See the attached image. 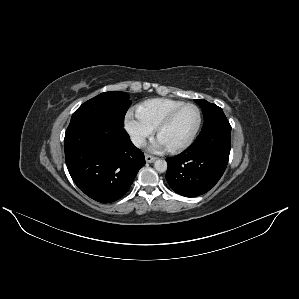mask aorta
Segmentation results:
<instances>
[{
    "label": "aorta",
    "instance_id": "aorta-1",
    "mask_svg": "<svg viewBox=\"0 0 299 299\" xmlns=\"http://www.w3.org/2000/svg\"><path fill=\"white\" fill-rule=\"evenodd\" d=\"M154 168L156 171L163 173L167 170V162L165 160H156L154 163Z\"/></svg>",
    "mask_w": 299,
    "mask_h": 299
}]
</instances>
